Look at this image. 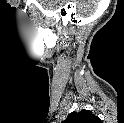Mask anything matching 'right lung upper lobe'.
Masks as SVG:
<instances>
[{
    "label": "right lung upper lobe",
    "instance_id": "cb5924a9",
    "mask_svg": "<svg viewBox=\"0 0 124 123\" xmlns=\"http://www.w3.org/2000/svg\"><path fill=\"white\" fill-rule=\"evenodd\" d=\"M100 119L89 110L72 112L68 115L64 123H98Z\"/></svg>",
    "mask_w": 124,
    "mask_h": 123
}]
</instances>
